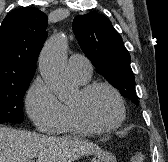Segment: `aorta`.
Wrapping results in <instances>:
<instances>
[{
	"label": "aorta",
	"instance_id": "762f6f07",
	"mask_svg": "<svg viewBox=\"0 0 168 162\" xmlns=\"http://www.w3.org/2000/svg\"><path fill=\"white\" fill-rule=\"evenodd\" d=\"M66 52L67 38L63 34H57L46 42L39 57V69L43 79L63 101L76 94V85L65 63Z\"/></svg>",
	"mask_w": 168,
	"mask_h": 162
}]
</instances>
